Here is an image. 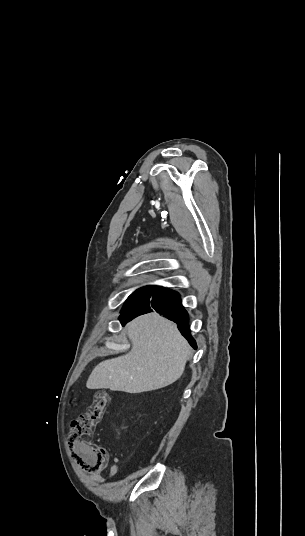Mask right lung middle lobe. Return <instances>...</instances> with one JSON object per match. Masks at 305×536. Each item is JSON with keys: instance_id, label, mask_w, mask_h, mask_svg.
Returning a JSON list of instances; mask_svg holds the SVG:
<instances>
[{"instance_id": "right-lung-middle-lobe-1", "label": "right lung middle lobe", "mask_w": 305, "mask_h": 536, "mask_svg": "<svg viewBox=\"0 0 305 536\" xmlns=\"http://www.w3.org/2000/svg\"><path fill=\"white\" fill-rule=\"evenodd\" d=\"M156 286H145L138 290H136L134 293H132L128 299L125 301L122 312L126 310L128 307H130L132 304H134L136 301H138L140 298L148 294L152 289H154Z\"/></svg>"}]
</instances>
